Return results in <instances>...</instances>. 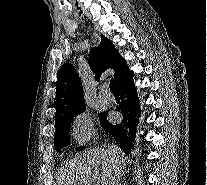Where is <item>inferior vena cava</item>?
I'll use <instances>...</instances> for the list:
<instances>
[{"label":"inferior vena cava","mask_w":207,"mask_h":185,"mask_svg":"<svg viewBox=\"0 0 207 185\" xmlns=\"http://www.w3.org/2000/svg\"><path fill=\"white\" fill-rule=\"evenodd\" d=\"M110 149H114V147H110Z\"/></svg>","instance_id":"1"}]
</instances>
